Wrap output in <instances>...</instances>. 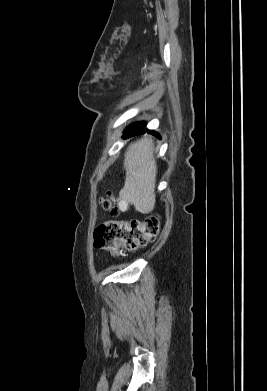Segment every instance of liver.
<instances>
[{"label": "liver", "mask_w": 267, "mask_h": 391, "mask_svg": "<svg viewBox=\"0 0 267 391\" xmlns=\"http://www.w3.org/2000/svg\"><path fill=\"white\" fill-rule=\"evenodd\" d=\"M153 152L154 142L146 136L131 143L124 155L126 178L119 193L120 203L131 204L142 214L152 212L156 202L157 166Z\"/></svg>", "instance_id": "1"}]
</instances>
